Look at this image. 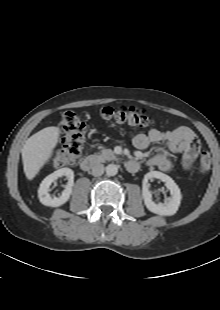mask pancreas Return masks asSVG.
Returning a JSON list of instances; mask_svg holds the SVG:
<instances>
[{
    "label": "pancreas",
    "instance_id": "cf45deb5",
    "mask_svg": "<svg viewBox=\"0 0 220 310\" xmlns=\"http://www.w3.org/2000/svg\"><path fill=\"white\" fill-rule=\"evenodd\" d=\"M97 157L101 160V161H105V160H115L116 156L114 154V152L111 149H105L103 148L100 153H98Z\"/></svg>",
    "mask_w": 220,
    "mask_h": 310
}]
</instances>
